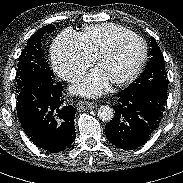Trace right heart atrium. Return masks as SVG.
<instances>
[{
    "mask_svg": "<svg viewBox=\"0 0 183 183\" xmlns=\"http://www.w3.org/2000/svg\"><path fill=\"white\" fill-rule=\"evenodd\" d=\"M51 59L57 74L69 82L79 80L94 62L86 52L80 35L73 31H65L55 39Z\"/></svg>",
    "mask_w": 183,
    "mask_h": 183,
    "instance_id": "1",
    "label": "right heart atrium"
}]
</instances>
